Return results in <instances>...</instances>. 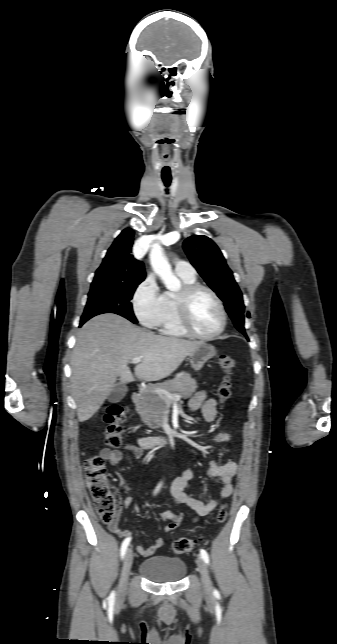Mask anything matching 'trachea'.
I'll use <instances>...</instances> for the list:
<instances>
[{
	"label": "trachea",
	"mask_w": 337,
	"mask_h": 644,
	"mask_svg": "<svg viewBox=\"0 0 337 644\" xmlns=\"http://www.w3.org/2000/svg\"><path fill=\"white\" fill-rule=\"evenodd\" d=\"M163 182H164V184H165V186H166V187H169V186H170V184H171V180H170V179H163Z\"/></svg>",
	"instance_id": "trachea-1"
}]
</instances>
